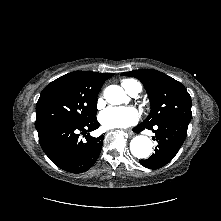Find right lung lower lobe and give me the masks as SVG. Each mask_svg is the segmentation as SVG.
Returning <instances> with one entry per match:
<instances>
[{"label": "right lung lower lobe", "instance_id": "right-lung-lower-lobe-1", "mask_svg": "<svg viewBox=\"0 0 221 221\" xmlns=\"http://www.w3.org/2000/svg\"><path fill=\"white\" fill-rule=\"evenodd\" d=\"M100 126L96 119L85 124H56L38 131L40 145L49 159L70 173H82L94 165L103 145V135L86 134ZM83 134L85 141L79 139Z\"/></svg>", "mask_w": 221, "mask_h": 221}]
</instances>
